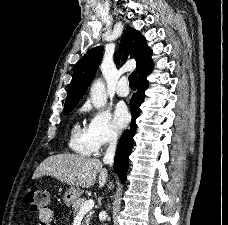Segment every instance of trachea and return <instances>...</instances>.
Wrapping results in <instances>:
<instances>
[{
	"label": "trachea",
	"mask_w": 228,
	"mask_h": 225,
	"mask_svg": "<svg viewBox=\"0 0 228 225\" xmlns=\"http://www.w3.org/2000/svg\"><path fill=\"white\" fill-rule=\"evenodd\" d=\"M136 80H137V74L134 71L129 76V85H130V88H136L137 87Z\"/></svg>",
	"instance_id": "trachea-1"
}]
</instances>
